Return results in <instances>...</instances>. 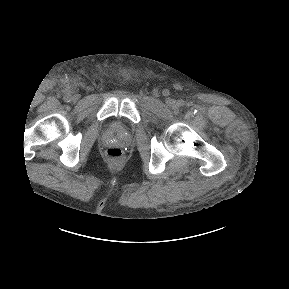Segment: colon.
Returning a JSON list of instances; mask_svg holds the SVG:
<instances>
[{
  "instance_id": "colon-1",
  "label": "colon",
  "mask_w": 289,
  "mask_h": 289,
  "mask_svg": "<svg viewBox=\"0 0 289 289\" xmlns=\"http://www.w3.org/2000/svg\"><path fill=\"white\" fill-rule=\"evenodd\" d=\"M105 154L107 158L114 163H120L123 160L124 155L122 149L116 146L108 148Z\"/></svg>"
}]
</instances>
